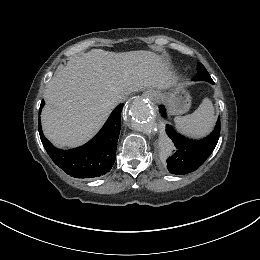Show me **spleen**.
<instances>
[{"mask_svg":"<svg viewBox=\"0 0 260 260\" xmlns=\"http://www.w3.org/2000/svg\"><path fill=\"white\" fill-rule=\"evenodd\" d=\"M174 122L176 128L185 135L197 138L207 135L216 122L212 101L204 98L192 114L175 117Z\"/></svg>","mask_w":260,"mask_h":260,"instance_id":"spleen-1","label":"spleen"}]
</instances>
